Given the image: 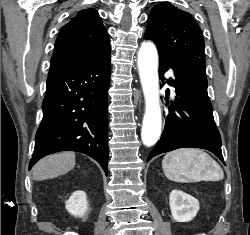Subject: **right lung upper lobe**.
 Wrapping results in <instances>:
<instances>
[{
  "label": "right lung upper lobe",
  "mask_w": 250,
  "mask_h": 235,
  "mask_svg": "<svg viewBox=\"0 0 250 235\" xmlns=\"http://www.w3.org/2000/svg\"><path fill=\"white\" fill-rule=\"evenodd\" d=\"M108 47V34L98 12L95 9L81 10L62 27L49 72L83 64Z\"/></svg>",
  "instance_id": "right-lung-upper-lobe-1"
}]
</instances>
